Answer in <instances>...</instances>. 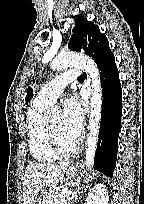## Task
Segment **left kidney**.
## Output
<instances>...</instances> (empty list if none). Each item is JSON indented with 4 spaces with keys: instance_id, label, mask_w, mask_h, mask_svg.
<instances>
[{
    "instance_id": "left-kidney-1",
    "label": "left kidney",
    "mask_w": 144,
    "mask_h": 204,
    "mask_svg": "<svg viewBox=\"0 0 144 204\" xmlns=\"http://www.w3.org/2000/svg\"><path fill=\"white\" fill-rule=\"evenodd\" d=\"M109 196L104 184L94 186L86 197V204H108Z\"/></svg>"
}]
</instances>
